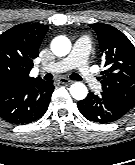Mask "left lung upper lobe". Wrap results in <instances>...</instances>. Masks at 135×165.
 <instances>
[{
  "instance_id": "left-lung-upper-lobe-1",
  "label": "left lung upper lobe",
  "mask_w": 135,
  "mask_h": 165,
  "mask_svg": "<svg viewBox=\"0 0 135 165\" xmlns=\"http://www.w3.org/2000/svg\"><path fill=\"white\" fill-rule=\"evenodd\" d=\"M89 26L97 33L105 58V70L100 77L102 93L129 111L135 105V47L111 25L94 23Z\"/></svg>"
}]
</instances>
